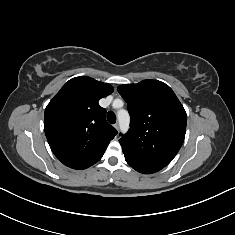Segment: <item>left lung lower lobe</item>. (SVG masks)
Returning a JSON list of instances; mask_svg holds the SVG:
<instances>
[{
	"instance_id": "obj_1",
	"label": "left lung lower lobe",
	"mask_w": 235,
	"mask_h": 235,
	"mask_svg": "<svg viewBox=\"0 0 235 235\" xmlns=\"http://www.w3.org/2000/svg\"><path fill=\"white\" fill-rule=\"evenodd\" d=\"M123 153H124L126 162L133 169H135L136 171H138L140 173L151 174V173H155L165 167V166H162V165H159L156 163L146 161L140 157L129 155L126 152H123Z\"/></svg>"
}]
</instances>
